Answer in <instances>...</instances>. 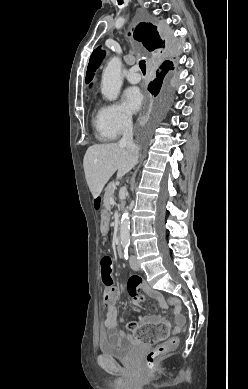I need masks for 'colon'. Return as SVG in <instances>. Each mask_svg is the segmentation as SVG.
Here are the masks:
<instances>
[{"mask_svg":"<svg viewBox=\"0 0 248 389\" xmlns=\"http://www.w3.org/2000/svg\"><path fill=\"white\" fill-rule=\"evenodd\" d=\"M94 199L96 200L95 204L99 205L100 201L103 199V196L101 194H96ZM112 268V258L109 256L103 257L101 259V273L103 282L108 286V288L115 284V281L112 279ZM117 298L118 296L114 289H108L104 291L103 302L105 305H110L116 302ZM167 303L173 305L178 314L182 312V305L178 299L170 298L168 299ZM168 326L169 324L164 322H162L160 325L158 322H145L144 326H140L139 330L134 332V335L138 338L140 344H151L152 340H159L160 337H169L170 332L169 330H166ZM130 327L133 328L134 326L130 325ZM182 327V323H178L176 325L177 329H181ZM178 343V338L172 337L165 343L149 351L145 356L146 368L151 372H155L160 359L173 351L178 346Z\"/></svg>","mask_w":248,"mask_h":389,"instance_id":"obj_1","label":"colon"}]
</instances>
